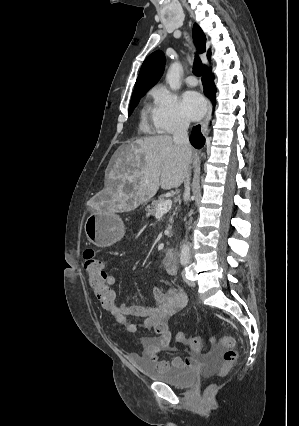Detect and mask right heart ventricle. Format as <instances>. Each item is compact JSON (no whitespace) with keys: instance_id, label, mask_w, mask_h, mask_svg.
Segmentation results:
<instances>
[{"instance_id":"right-heart-ventricle-1","label":"right heart ventricle","mask_w":299,"mask_h":426,"mask_svg":"<svg viewBox=\"0 0 299 426\" xmlns=\"http://www.w3.org/2000/svg\"><path fill=\"white\" fill-rule=\"evenodd\" d=\"M142 129L146 131H151V127L149 124V112L147 108H144L142 111V122H141Z\"/></svg>"}]
</instances>
